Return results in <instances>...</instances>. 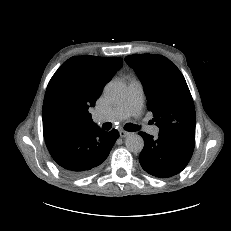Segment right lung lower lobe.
I'll return each mask as SVG.
<instances>
[{"instance_id": "obj_1", "label": "right lung lower lobe", "mask_w": 231, "mask_h": 231, "mask_svg": "<svg viewBox=\"0 0 231 231\" xmlns=\"http://www.w3.org/2000/svg\"><path fill=\"white\" fill-rule=\"evenodd\" d=\"M118 137L117 130L105 132L98 126L44 136L52 158L70 177H84L99 169Z\"/></svg>"}]
</instances>
